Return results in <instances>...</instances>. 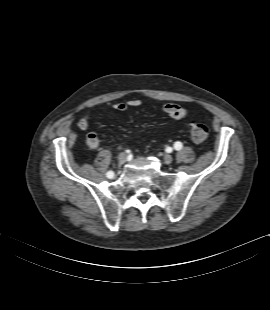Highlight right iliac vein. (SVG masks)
<instances>
[{
  "instance_id": "right-iliac-vein-1",
  "label": "right iliac vein",
  "mask_w": 270,
  "mask_h": 310,
  "mask_svg": "<svg viewBox=\"0 0 270 310\" xmlns=\"http://www.w3.org/2000/svg\"><path fill=\"white\" fill-rule=\"evenodd\" d=\"M126 159H127L126 153L122 152L119 154L118 161L120 164H123L126 161Z\"/></svg>"
}]
</instances>
